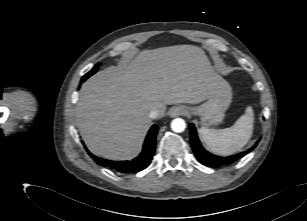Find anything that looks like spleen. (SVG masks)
Listing matches in <instances>:
<instances>
[{"instance_id":"spleen-1","label":"spleen","mask_w":307,"mask_h":221,"mask_svg":"<svg viewBox=\"0 0 307 221\" xmlns=\"http://www.w3.org/2000/svg\"><path fill=\"white\" fill-rule=\"evenodd\" d=\"M254 112L251 106L245 110L233 126L225 129H208L202 127L199 130L201 139L208 149L219 155H231L241 151L248 143L253 133Z\"/></svg>"}]
</instances>
